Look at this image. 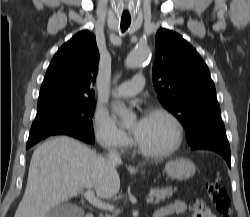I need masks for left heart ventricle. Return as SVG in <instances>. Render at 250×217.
<instances>
[{"label":"left heart ventricle","instance_id":"obj_1","mask_svg":"<svg viewBox=\"0 0 250 217\" xmlns=\"http://www.w3.org/2000/svg\"><path fill=\"white\" fill-rule=\"evenodd\" d=\"M173 136L172 125L166 118L149 114L146 116L145 123L136 137V141L148 150L160 151L171 145Z\"/></svg>","mask_w":250,"mask_h":217}]
</instances>
